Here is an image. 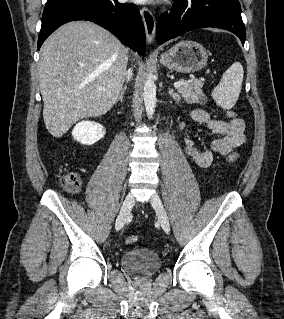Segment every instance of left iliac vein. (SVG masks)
I'll return each mask as SVG.
<instances>
[{
	"label": "left iliac vein",
	"instance_id": "4c4485c4",
	"mask_svg": "<svg viewBox=\"0 0 284 319\" xmlns=\"http://www.w3.org/2000/svg\"><path fill=\"white\" fill-rule=\"evenodd\" d=\"M150 203L158 215V219L160 221V224H161L163 230L166 233H169L170 232L169 218H168L166 210L163 206L162 200L160 199V197L157 193L152 194V196L150 197Z\"/></svg>",
	"mask_w": 284,
	"mask_h": 319
}]
</instances>
